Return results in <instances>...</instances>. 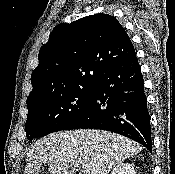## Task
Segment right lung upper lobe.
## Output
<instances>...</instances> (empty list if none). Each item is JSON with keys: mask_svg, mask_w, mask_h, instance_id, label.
<instances>
[{"mask_svg": "<svg viewBox=\"0 0 175 174\" xmlns=\"http://www.w3.org/2000/svg\"><path fill=\"white\" fill-rule=\"evenodd\" d=\"M133 55L128 34L111 15L59 24L39 51L27 106L67 90L94 86L110 68Z\"/></svg>", "mask_w": 175, "mask_h": 174, "instance_id": "obj_1", "label": "right lung upper lobe"}]
</instances>
